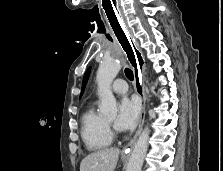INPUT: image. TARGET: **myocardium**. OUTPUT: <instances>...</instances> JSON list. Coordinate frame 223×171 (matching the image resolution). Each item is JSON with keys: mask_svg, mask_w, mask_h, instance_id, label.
<instances>
[{"mask_svg": "<svg viewBox=\"0 0 223 171\" xmlns=\"http://www.w3.org/2000/svg\"><path fill=\"white\" fill-rule=\"evenodd\" d=\"M107 124H108L109 129H110V127H111V123H110L109 121H107Z\"/></svg>", "mask_w": 223, "mask_h": 171, "instance_id": "myocardium-1", "label": "myocardium"}]
</instances>
